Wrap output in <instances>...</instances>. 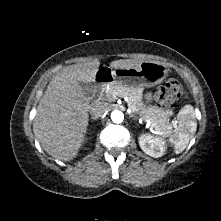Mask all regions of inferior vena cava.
I'll return each instance as SVG.
<instances>
[{
    "label": "inferior vena cava",
    "instance_id": "inferior-vena-cava-1",
    "mask_svg": "<svg viewBox=\"0 0 221 221\" xmlns=\"http://www.w3.org/2000/svg\"><path fill=\"white\" fill-rule=\"evenodd\" d=\"M108 110V107L104 103H96L90 108V114L92 119H97L103 116V114Z\"/></svg>",
    "mask_w": 221,
    "mask_h": 221
}]
</instances>
